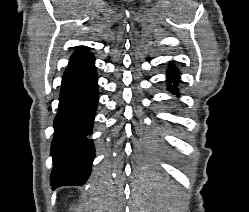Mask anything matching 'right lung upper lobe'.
Masks as SVG:
<instances>
[{"mask_svg": "<svg viewBox=\"0 0 249 212\" xmlns=\"http://www.w3.org/2000/svg\"><path fill=\"white\" fill-rule=\"evenodd\" d=\"M90 54L88 53V51L84 48L76 51L72 56L71 59L69 61V64L80 61L86 57H88Z\"/></svg>", "mask_w": 249, "mask_h": 212, "instance_id": "obj_1", "label": "right lung upper lobe"}]
</instances>
